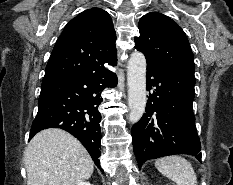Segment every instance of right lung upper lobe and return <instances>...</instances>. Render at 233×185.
<instances>
[{
    "label": "right lung upper lobe",
    "instance_id": "cb5924a9",
    "mask_svg": "<svg viewBox=\"0 0 233 185\" xmlns=\"http://www.w3.org/2000/svg\"><path fill=\"white\" fill-rule=\"evenodd\" d=\"M116 33L110 15L99 8L80 13L65 26L46 66L43 81L105 70L116 65Z\"/></svg>",
    "mask_w": 233,
    "mask_h": 185
}]
</instances>
